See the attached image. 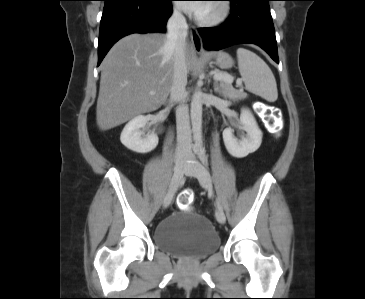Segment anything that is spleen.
Listing matches in <instances>:
<instances>
[{
  "mask_svg": "<svg viewBox=\"0 0 365 299\" xmlns=\"http://www.w3.org/2000/svg\"><path fill=\"white\" fill-rule=\"evenodd\" d=\"M238 67L246 89L269 102L278 98L275 77L265 63L256 53L245 49H237Z\"/></svg>",
  "mask_w": 365,
  "mask_h": 299,
  "instance_id": "3e777b00",
  "label": "spleen"
}]
</instances>
